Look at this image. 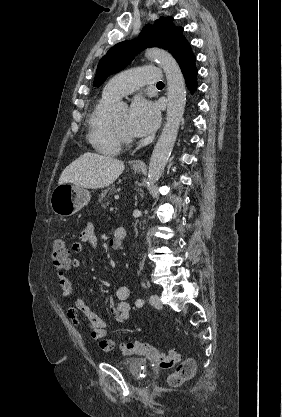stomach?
Listing matches in <instances>:
<instances>
[{
    "mask_svg": "<svg viewBox=\"0 0 282 417\" xmlns=\"http://www.w3.org/2000/svg\"><path fill=\"white\" fill-rule=\"evenodd\" d=\"M134 168V166H133ZM136 172H139L141 168H134ZM91 198V194L87 188L83 186H77L73 182H63L55 186L51 192L50 204L51 209L55 215L60 217H71L78 211L83 209V206L88 204Z\"/></svg>",
    "mask_w": 282,
    "mask_h": 417,
    "instance_id": "stomach-1",
    "label": "stomach"
}]
</instances>
